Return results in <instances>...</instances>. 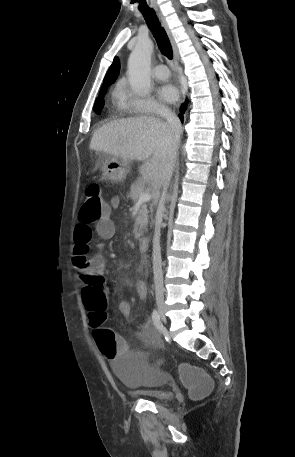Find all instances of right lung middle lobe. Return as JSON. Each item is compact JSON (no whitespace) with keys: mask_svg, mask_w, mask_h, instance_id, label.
<instances>
[{"mask_svg":"<svg viewBox=\"0 0 295 457\" xmlns=\"http://www.w3.org/2000/svg\"><path fill=\"white\" fill-rule=\"evenodd\" d=\"M106 90H107V87H102L101 88V91H100V94H99V97L97 98L96 102H95V105H94V111L97 113V114H100L101 113V110L104 106V100H103V97L106 93Z\"/></svg>","mask_w":295,"mask_h":457,"instance_id":"right-lung-middle-lobe-1","label":"right lung middle lobe"}]
</instances>
